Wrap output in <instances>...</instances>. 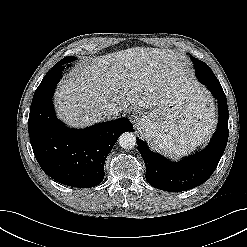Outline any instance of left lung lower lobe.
Returning <instances> with one entry per match:
<instances>
[{"label": "left lung lower lobe", "mask_w": 247, "mask_h": 247, "mask_svg": "<svg viewBox=\"0 0 247 247\" xmlns=\"http://www.w3.org/2000/svg\"><path fill=\"white\" fill-rule=\"evenodd\" d=\"M193 63L198 80L218 100V126L208 146L180 162H171L152 152L144 141L137 138L148 183L169 192L187 191L204 183L216 169L228 140V108L221 84L207 64L200 60Z\"/></svg>", "instance_id": "left-lung-lower-lobe-1"}]
</instances>
